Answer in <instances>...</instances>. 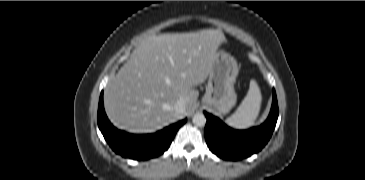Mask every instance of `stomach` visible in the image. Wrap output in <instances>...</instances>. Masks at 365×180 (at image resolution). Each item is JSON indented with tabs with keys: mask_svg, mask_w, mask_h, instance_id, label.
<instances>
[{
	"mask_svg": "<svg viewBox=\"0 0 365 180\" xmlns=\"http://www.w3.org/2000/svg\"><path fill=\"white\" fill-rule=\"evenodd\" d=\"M238 72L235 58L223 50L217 51L208 75L203 104L215 108L220 114L228 113L237 100L234 84Z\"/></svg>",
	"mask_w": 365,
	"mask_h": 180,
	"instance_id": "stomach-1",
	"label": "stomach"
}]
</instances>
